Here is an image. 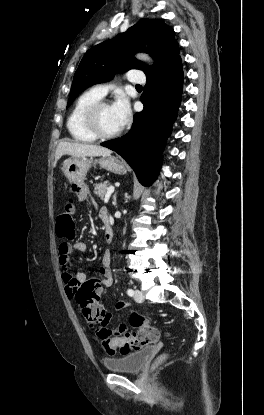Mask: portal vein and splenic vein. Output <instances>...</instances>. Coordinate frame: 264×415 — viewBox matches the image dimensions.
I'll use <instances>...</instances> for the list:
<instances>
[{
	"mask_svg": "<svg viewBox=\"0 0 264 415\" xmlns=\"http://www.w3.org/2000/svg\"><path fill=\"white\" fill-rule=\"evenodd\" d=\"M114 190H115L114 186H110V187H109V189H108V191H107V193H106V195H105V198H104V202H105V203H107V202H108V200H109V198H110L111 194L114 192Z\"/></svg>",
	"mask_w": 264,
	"mask_h": 415,
	"instance_id": "portal-vein-and-splenic-vein-1",
	"label": "portal vein and splenic vein"
}]
</instances>
